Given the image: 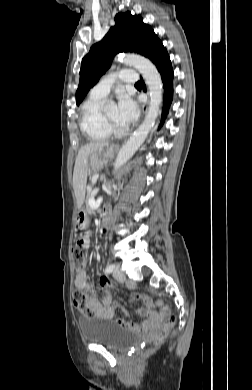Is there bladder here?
Returning a JSON list of instances; mask_svg holds the SVG:
<instances>
[{"label":"bladder","mask_w":252,"mask_h":390,"mask_svg":"<svg viewBox=\"0 0 252 390\" xmlns=\"http://www.w3.org/2000/svg\"><path fill=\"white\" fill-rule=\"evenodd\" d=\"M79 327L87 342L115 351H124L139 342V338L128 329L95 316L80 319Z\"/></svg>","instance_id":"31cf9c89"}]
</instances>
